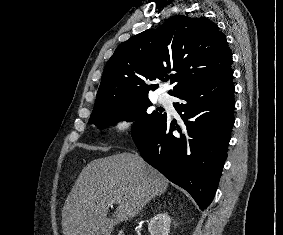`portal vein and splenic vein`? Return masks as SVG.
I'll list each match as a JSON object with an SVG mask.
<instances>
[{
  "label": "portal vein and splenic vein",
  "instance_id": "obj_1",
  "mask_svg": "<svg viewBox=\"0 0 283 235\" xmlns=\"http://www.w3.org/2000/svg\"><path fill=\"white\" fill-rule=\"evenodd\" d=\"M112 202L118 203V202H120V200H119V198H113V199H112Z\"/></svg>",
  "mask_w": 283,
  "mask_h": 235
}]
</instances>
